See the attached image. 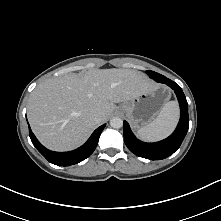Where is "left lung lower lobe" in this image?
Instances as JSON below:
<instances>
[{
    "mask_svg": "<svg viewBox=\"0 0 221 221\" xmlns=\"http://www.w3.org/2000/svg\"><path fill=\"white\" fill-rule=\"evenodd\" d=\"M161 83H165L171 87L179 101L180 120L175 131L162 141L145 143L134 136L128 123L124 121L123 133L126 146L135 155L150 160L165 159L176 152L183 142L189 128L188 103L182 88L168 78L162 79Z\"/></svg>",
    "mask_w": 221,
    "mask_h": 221,
    "instance_id": "left-lung-lower-lobe-1",
    "label": "left lung lower lobe"
}]
</instances>
